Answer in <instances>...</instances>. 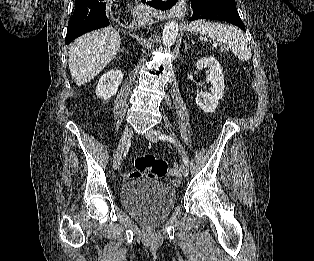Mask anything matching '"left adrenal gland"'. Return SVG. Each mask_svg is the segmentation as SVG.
Returning <instances> with one entry per match:
<instances>
[{"label": "left adrenal gland", "instance_id": "1", "mask_svg": "<svg viewBox=\"0 0 314 261\" xmlns=\"http://www.w3.org/2000/svg\"><path fill=\"white\" fill-rule=\"evenodd\" d=\"M187 50H188V45H187V43H185V49H184V52H187Z\"/></svg>", "mask_w": 314, "mask_h": 261}]
</instances>
